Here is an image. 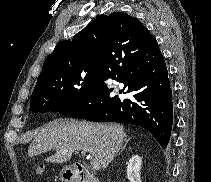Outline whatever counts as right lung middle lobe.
Masks as SVG:
<instances>
[{
	"label": "right lung middle lobe",
	"mask_w": 211,
	"mask_h": 182,
	"mask_svg": "<svg viewBox=\"0 0 211 182\" xmlns=\"http://www.w3.org/2000/svg\"><path fill=\"white\" fill-rule=\"evenodd\" d=\"M98 77L99 69L94 67L36 86L30 109L40 113L52 111L66 114L85 98Z\"/></svg>",
	"instance_id": "1"
}]
</instances>
